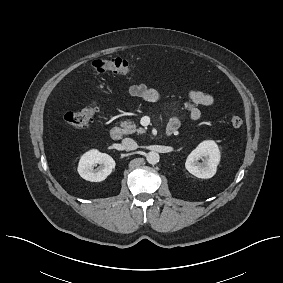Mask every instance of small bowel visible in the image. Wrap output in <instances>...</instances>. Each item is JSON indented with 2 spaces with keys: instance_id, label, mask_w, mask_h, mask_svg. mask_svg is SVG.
Wrapping results in <instances>:
<instances>
[{
  "instance_id": "small-bowel-1",
  "label": "small bowel",
  "mask_w": 283,
  "mask_h": 283,
  "mask_svg": "<svg viewBox=\"0 0 283 283\" xmlns=\"http://www.w3.org/2000/svg\"><path fill=\"white\" fill-rule=\"evenodd\" d=\"M125 94L142 98L147 102H156L160 97L156 89L146 84L133 85L125 91ZM188 98L189 100L181 107V111L187 112L189 119L193 122L198 121L201 117L200 107H211L214 104L212 95L198 90L190 89ZM168 125L174 126L176 130L179 129L181 126L180 112L171 117Z\"/></svg>"
}]
</instances>
